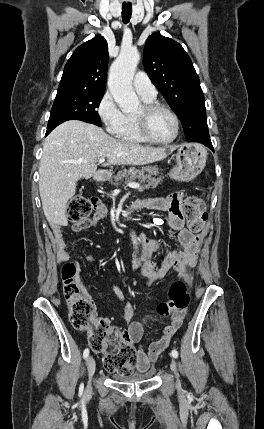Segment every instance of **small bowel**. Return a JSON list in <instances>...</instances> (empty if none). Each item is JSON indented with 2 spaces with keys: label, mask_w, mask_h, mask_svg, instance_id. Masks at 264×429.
<instances>
[{
  "label": "small bowel",
  "mask_w": 264,
  "mask_h": 429,
  "mask_svg": "<svg viewBox=\"0 0 264 429\" xmlns=\"http://www.w3.org/2000/svg\"><path fill=\"white\" fill-rule=\"evenodd\" d=\"M185 193L181 191L174 192L167 197H153L136 202L134 205L140 206L149 210H159L168 212V218L165 223L172 229L177 230L180 249L167 254L162 263L158 264L155 259V253L160 247L158 241L142 235L143 259L140 265L141 276L145 283L157 284L160 283L171 271L177 272L187 282L190 281L188 274L184 272V266L193 265L195 261V252L199 245V236L193 234L184 227V217L182 214V203ZM105 214V209L100 208L93 218L84 219L72 223L71 229L74 232L96 226L98 221ZM164 223L162 219H160ZM54 242L57 251V256L61 260L68 259L69 255L66 249V240L60 227L54 229ZM89 262H94L95 258L92 255H86ZM137 265V263H135ZM76 280L83 292L88 294L86 288L82 284L80 271L76 276ZM114 292L120 300H124L123 294L117 287H113ZM134 309L130 303H124L122 312V321L128 324L127 333L132 338L133 342H138L142 335L145 326L152 320V316L146 317L141 322H132ZM184 313H173L170 324L163 330L162 336L157 341L152 342L147 349L140 348L136 352V359L133 368L139 372H146L150 365L154 363L161 352H163L171 341L175 332L182 325Z\"/></svg>",
  "instance_id": "1"
}]
</instances>
